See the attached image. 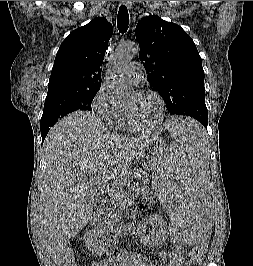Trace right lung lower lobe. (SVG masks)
Wrapping results in <instances>:
<instances>
[{
	"label": "right lung lower lobe",
	"instance_id": "98d812e1",
	"mask_svg": "<svg viewBox=\"0 0 253 266\" xmlns=\"http://www.w3.org/2000/svg\"><path fill=\"white\" fill-rule=\"evenodd\" d=\"M48 131H49V128H47V129H41L42 143H43V141H44V139H45Z\"/></svg>",
	"mask_w": 253,
	"mask_h": 266
}]
</instances>
